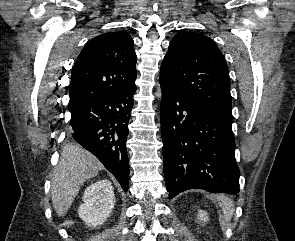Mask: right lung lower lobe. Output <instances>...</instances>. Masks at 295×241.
Listing matches in <instances>:
<instances>
[{
  "label": "right lung lower lobe",
  "mask_w": 295,
  "mask_h": 241,
  "mask_svg": "<svg viewBox=\"0 0 295 241\" xmlns=\"http://www.w3.org/2000/svg\"><path fill=\"white\" fill-rule=\"evenodd\" d=\"M135 91L134 84L125 90L98 95L69 108L72 137L103 163L125 192L129 179L125 143Z\"/></svg>",
  "instance_id": "right-lung-lower-lobe-1"
}]
</instances>
